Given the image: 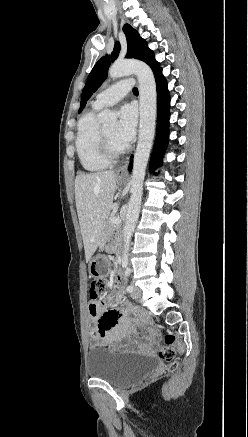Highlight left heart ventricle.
I'll return each instance as SVG.
<instances>
[{
	"label": "left heart ventricle",
	"mask_w": 248,
	"mask_h": 437,
	"mask_svg": "<svg viewBox=\"0 0 248 437\" xmlns=\"http://www.w3.org/2000/svg\"><path fill=\"white\" fill-rule=\"evenodd\" d=\"M106 135L108 136L112 146L116 149L123 147L124 145L118 142L115 138L116 123H111L103 127Z\"/></svg>",
	"instance_id": "1"
}]
</instances>
